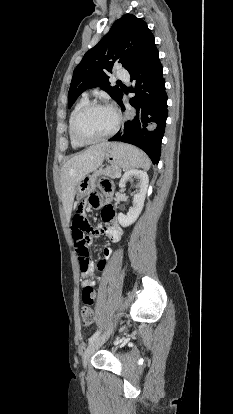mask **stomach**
<instances>
[{
  "label": "stomach",
  "mask_w": 233,
  "mask_h": 414,
  "mask_svg": "<svg viewBox=\"0 0 233 414\" xmlns=\"http://www.w3.org/2000/svg\"><path fill=\"white\" fill-rule=\"evenodd\" d=\"M144 157L145 155L142 151L131 145L113 143L107 148L104 158L111 167L129 169L139 167L143 163ZM90 180V177L87 175L80 180L76 187L77 197L81 198L87 194Z\"/></svg>",
  "instance_id": "obj_1"
}]
</instances>
